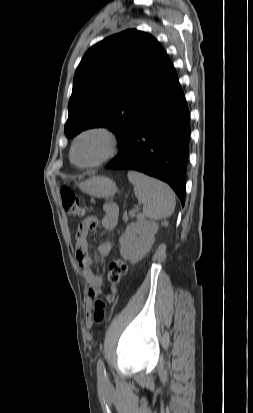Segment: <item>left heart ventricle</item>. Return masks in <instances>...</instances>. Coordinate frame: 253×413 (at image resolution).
<instances>
[{"label":"left heart ventricle","mask_w":253,"mask_h":413,"mask_svg":"<svg viewBox=\"0 0 253 413\" xmlns=\"http://www.w3.org/2000/svg\"><path fill=\"white\" fill-rule=\"evenodd\" d=\"M105 148L104 140L95 135L82 138L76 146L74 157L78 163L88 164L100 157Z\"/></svg>","instance_id":"1"}]
</instances>
